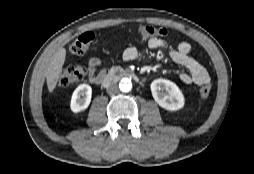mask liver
<instances>
[{
    "label": "liver",
    "mask_w": 254,
    "mask_h": 174,
    "mask_svg": "<svg viewBox=\"0 0 254 174\" xmlns=\"http://www.w3.org/2000/svg\"><path fill=\"white\" fill-rule=\"evenodd\" d=\"M65 59H66V50L65 48H60L55 53L46 75V82L49 92H53L59 81L60 75L62 73V67L65 63Z\"/></svg>",
    "instance_id": "liver-1"
}]
</instances>
